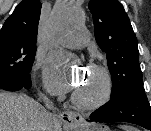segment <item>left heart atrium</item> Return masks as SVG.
I'll list each match as a JSON object with an SVG mask.
<instances>
[{
    "label": "left heart atrium",
    "instance_id": "1",
    "mask_svg": "<svg viewBox=\"0 0 151 131\" xmlns=\"http://www.w3.org/2000/svg\"><path fill=\"white\" fill-rule=\"evenodd\" d=\"M76 62L68 63L62 56L49 59L45 70V80L48 90L53 94H62L73 91L77 86V80L82 73L73 68Z\"/></svg>",
    "mask_w": 151,
    "mask_h": 131
}]
</instances>
